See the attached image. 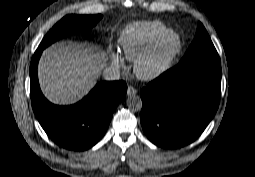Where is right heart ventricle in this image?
<instances>
[{
    "instance_id": "1",
    "label": "right heart ventricle",
    "mask_w": 255,
    "mask_h": 177,
    "mask_svg": "<svg viewBox=\"0 0 255 177\" xmlns=\"http://www.w3.org/2000/svg\"><path fill=\"white\" fill-rule=\"evenodd\" d=\"M166 30V25L160 21L128 24L119 39L124 55L129 60H135L157 36Z\"/></svg>"
}]
</instances>
